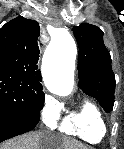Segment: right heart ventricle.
Listing matches in <instances>:
<instances>
[{
	"instance_id": "1",
	"label": "right heart ventricle",
	"mask_w": 124,
	"mask_h": 149,
	"mask_svg": "<svg viewBox=\"0 0 124 149\" xmlns=\"http://www.w3.org/2000/svg\"><path fill=\"white\" fill-rule=\"evenodd\" d=\"M58 127L60 132L91 144L100 143L107 133L105 117L91 101H85L79 109L67 114Z\"/></svg>"
}]
</instances>
